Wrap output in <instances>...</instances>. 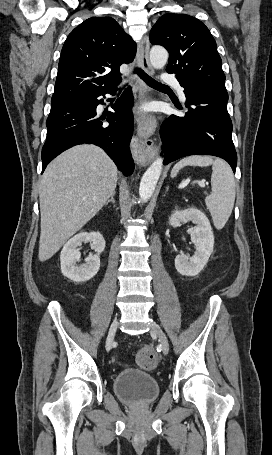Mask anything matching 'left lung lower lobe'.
<instances>
[{
	"mask_svg": "<svg viewBox=\"0 0 272 455\" xmlns=\"http://www.w3.org/2000/svg\"><path fill=\"white\" fill-rule=\"evenodd\" d=\"M184 93L185 116L172 115L160 128L164 164L189 155H213L226 160L235 173L237 154L227 112V90L191 86L184 87Z\"/></svg>",
	"mask_w": 272,
	"mask_h": 455,
	"instance_id": "obj_1",
	"label": "left lung lower lobe"
}]
</instances>
